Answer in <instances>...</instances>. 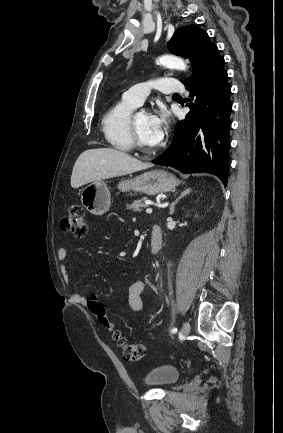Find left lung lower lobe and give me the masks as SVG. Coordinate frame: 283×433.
<instances>
[{
  "label": "left lung lower lobe",
  "mask_w": 283,
  "mask_h": 433,
  "mask_svg": "<svg viewBox=\"0 0 283 433\" xmlns=\"http://www.w3.org/2000/svg\"><path fill=\"white\" fill-rule=\"evenodd\" d=\"M193 71L183 83L195 103L187 104L190 111L177 123L171 145L152 162L186 174L211 173L226 187L232 105L224 59L216 45L197 59Z\"/></svg>",
  "instance_id": "obj_1"
}]
</instances>
